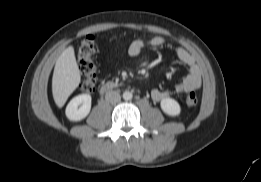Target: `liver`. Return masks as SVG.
<instances>
[{"label":"liver","mask_w":261,"mask_h":182,"mask_svg":"<svg viewBox=\"0 0 261 182\" xmlns=\"http://www.w3.org/2000/svg\"><path fill=\"white\" fill-rule=\"evenodd\" d=\"M81 80L73 46L66 48L56 61L52 77V93L56 105L61 108L78 87Z\"/></svg>","instance_id":"6515ba94"}]
</instances>
